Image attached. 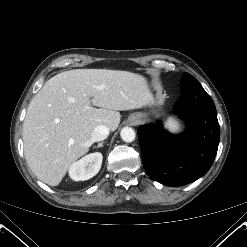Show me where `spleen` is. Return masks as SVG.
I'll return each instance as SVG.
<instances>
[{
	"label": "spleen",
	"mask_w": 247,
	"mask_h": 247,
	"mask_svg": "<svg viewBox=\"0 0 247 247\" xmlns=\"http://www.w3.org/2000/svg\"><path fill=\"white\" fill-rule=\"evenodd\" d=\"M165 126L173 132H176L180 129L179 123L174 118H169L166 121Z\"/></svg>",
	"instance_id": "spleen-1"
}]
</instances>
